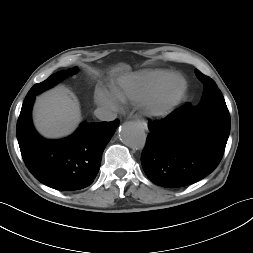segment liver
I'll return each mask as SVG.
<instances>
[{
	"mask_svg": "<svg viewBox=\"0 0 253 253\" xmlns=\"http://www.w3.org/2000/svg\"><path fill=\"white\" fill-rule=\"evenodd\" d=\"M33 118L36 129L44 137L60 138L76 129L81 111L70 91L59 86L36 99Z\"/></svg>",
	"mask_w": 253,
	"mask_h": 253,
	"instance_id": "liver-1",
	"label": "liver"
}]
</instances>
